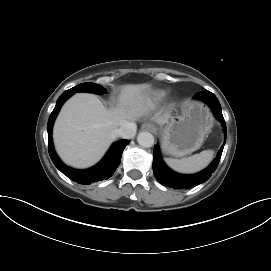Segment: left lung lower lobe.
<instances>
[{
    "mask_svg": "<svg viewBox=\"0 0 271 271\" xmlns=\"http://www.w3.org/2000/svg\"><path fill=\"white\" fill-rule=\"evenodd\" d=\"M194 98L203 100L205 103H207L211 107L216 118L222 123L224 132L226 135V123L222 115L221 105L218 99L216 98V96L209 91H204V92L195 94ZM225 141H224V144H225ZM224 144L220 148L213 162L205 170L194 175H181L170 170L163 163L161 159L160 149L157 144L154 146V152H153L154 175L160 184L164 186L172 187L174 189H183V188H189V187L199 185L205 182L206 180H208L211 177V174L217 168L221 155H222Z\"/></svg>",
    "mask_w": 271,
    "mask_h": 271,
    "instance_id": "left-lung-lower-lobe-1",
    "label": "left lung lower lobe"
}]
</instances>
